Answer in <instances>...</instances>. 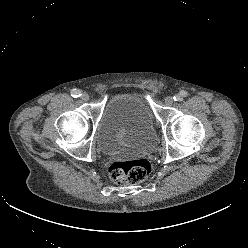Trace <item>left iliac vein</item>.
Wrapping results in <instances>:
<instances>
[{"mask_svg":"<svg viewBox=\"0 0 248 248\" xmlns=\"http://www.w3.org/2000/svg\"><path fill=\"white\" fill-rule=\"evenodd\" d=\"M173 102H174V99H173V97H171V96H168V97L165 99V104H166L167 106H171V105L173 104Z\"/></svg>","mask_w":248,"mask_h":248,"instance_id":"left-iliac-vein-1","label":"left iliac vein"}]
</instances>
